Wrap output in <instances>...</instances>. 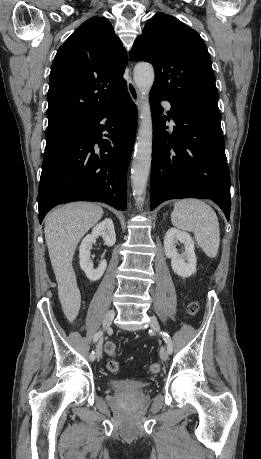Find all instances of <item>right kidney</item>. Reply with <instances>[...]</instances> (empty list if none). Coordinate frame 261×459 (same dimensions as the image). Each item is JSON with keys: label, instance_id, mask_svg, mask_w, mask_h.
I'll return each instance as SVG.
<instances>
[{"label": "right kidney", "instance_id": "obj_1", "mask_svg": "<svg viewBox=\"0 0 261 459\" xmlns=\"http://www.w3.org/2000/svg\"><path fill=\"white\" fill-rule=\"evenodd\" d=\"M102 236L105 244L111 247L116 242V234L114 229L113 221L110 218L104 219L102 222L97 224L91 234H88L81 242L79 247V259L80 267L85 272L87 278L90 281L99 280L107 267V262L102 259L99 263L98 268L94 269L92 260L90 258L92 244L96 242V237Z\"/></svg>", "mask_w": 261, "mask_h": 459}]
</instances>
